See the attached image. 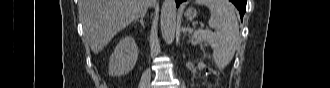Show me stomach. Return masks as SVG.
I'll return each mask as SVG.
<instances>
[{
	"mask_svg": "<svg viewBox=\"0 0 330 88\" xmlns=\"http://www.w3.org/2000/svg\"><path fill=\"white\" fill-rule=\"evenodd\" d=\"M196 10H194L193 8H189L186 12H185V17L188 20H192L196 17Z\"/></svg>",
	"mask_w": 330,
	"mask_h": 88,
	"instance_id": "0dacf381",
	"label": "stomach"
}]
</instances>
